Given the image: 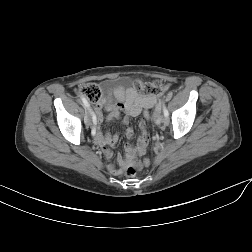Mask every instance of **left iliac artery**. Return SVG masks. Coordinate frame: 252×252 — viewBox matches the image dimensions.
Masks as SVG:
<instances>
[{"instance_id":"44dca946","label":"left iliac artery","mask_w":252,"mask_h":252,"mask_svg":"<svg viewBox=\"0 0 252 252\" xmlns=\"http://www.w3.org/2000/svg\"><path fill=\"white\" fill-rule=\"evenodd\" d=\"M162 107H163L164 116L167 118V117L169 116V112H168V110L166 109L164 102H162Z\"/></svg>"}]
</instances>
